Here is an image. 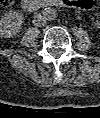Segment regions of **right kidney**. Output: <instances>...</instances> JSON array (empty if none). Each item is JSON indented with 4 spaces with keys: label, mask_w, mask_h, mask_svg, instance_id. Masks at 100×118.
Masks as SVG:
<instances>
[{
    "label": "right kidney",
    "mask_w": 100,
    "mask_h": 118,
    "mask_svg": "<svg viewBox=\"0 0 100 118\" xmlns=\"http://www.w3.org/2000/svg\"><path fill=\"white\" fill-rule=\"evenodd\" d=\"M20 28V24L13 18L8 17L1 24V32L5 37H11L15 35Z\"/></svg>",
    "instance_id": "ca27d5eb"
}]
</instances>
